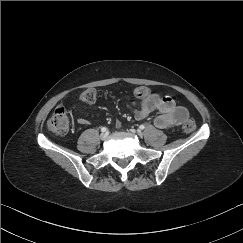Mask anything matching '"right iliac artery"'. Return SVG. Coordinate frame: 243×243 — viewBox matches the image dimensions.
<instances>
[{"instance_id": "right-iliac-artery-1", "label": "right iliac artery", "mask_w": 243, "mask_h": 243, "mask_svg": "<svg viewBox=\"0 0 243 243\" xmlns=\"http://www.w3.org/2000/svg\"><path fill=\"white\" fill-rule=\"evenodd\" d=\"M107 130H108V129H107L106 127H102V128H101V132H107Z\"/></svg>"}]
</instances>
